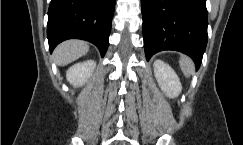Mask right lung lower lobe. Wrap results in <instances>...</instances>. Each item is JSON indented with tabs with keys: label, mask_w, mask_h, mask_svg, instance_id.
Returning a JSON list of instances; mask_svg holds the SVG:
<instances>
[{
	"label": "right lung lower lobe",
	"mask_w": 243,
	"mask_h": 145,
	"mask_svg": "<svg viewBox=\"0 0 243 145\" xmlns=\"http://www.w3.org/2000/svg\"><path fill=\"white\" fill-rule=\"evenodd\" d=\"M115 0H51L47 38L50 52L67 39L87 40L103 57L109 44Z\"/></svg>",
	"instance_id": "98d812e1"
}]
</instances>
